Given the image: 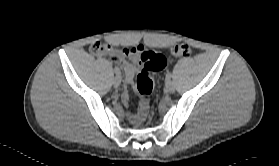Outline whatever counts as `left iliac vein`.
<instances>
[{
    "mask_svg": "<svg viewBox=\"0 0 279 166\" xmlns=\"http://www.w3.org/2000/svg\"><path fill=\"white\" fill-rule=\"evenodd\" d=\"M165 90L168 93H173L175 91V86L172 81L168 80L165 85Z\"/></svg>",
    "mask_w": 279,
    "mask_h": 166,
    "instance_id": "1",
    "label": "left iliac vein"
}]
</instances>
